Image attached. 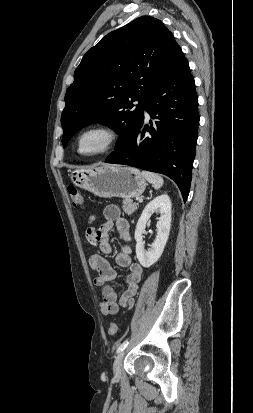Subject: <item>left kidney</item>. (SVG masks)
Returning a JSON list of instances; mask_svg holds the SVG:
<instances>
[{
  "label": "left kidney",
  "mask_w": 253,
  "mask_h": 413,
  "mask_svg": "<svg viewBox=\"0 0 253 413\" xmlns=\"http://www.w3.org/2000/svg\"><path fill=\"white\" fill-rule=\"evenodd\" d=\"M155 211L160 214V218L157 222V236L152 243L151 248L145 250L142 234L146 228L147 222ZM170 226L171 200L167 194H162L154 198L145 206L136 225L134 234L136 240V255L143 267H150L161 257L169 237Z\"/></svg>",
  "instance_id": "5707ae66"
}]
</instances>
